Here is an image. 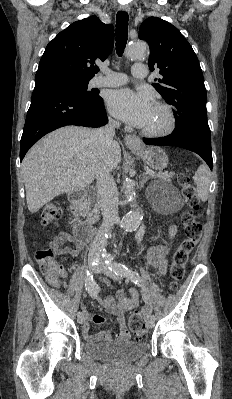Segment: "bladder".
I'll list each match as a JSON object with an SVG mask.
<instances>
[{"instance_id":"31cf9c89","label":"bladder","mask_w":232,"mask_h":399,"mask_svg":"<svg viewBox=\"0 0 232 399\" xmlns=\"http://www.w3.org/2000/svg\"><path fill=\"white\" fill-rule=\"evenodd\" d=\"M83 353L92 359L115 363L128 364L142 357L148 349L146 342L111 341L89 342L83 345Z\"/></svg>"}]
</instances>
